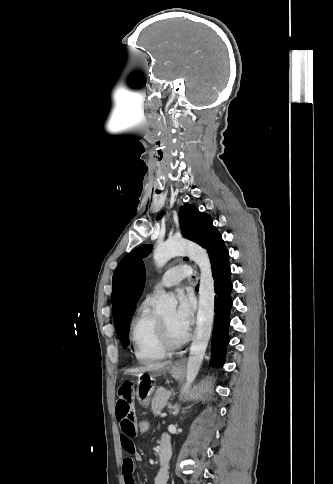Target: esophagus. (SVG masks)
Segmentation results:
<instances>
[{"label": "esophagus", "mask_w": 333, "mask_h": 484, "mask_svg": "<svg viewBox=\"0 0 333 484\" xmlns=\"http://www.w3.org/2000/svg\"><path fill=\"white\" fill-rule=\"evenodd\" d=\"M182 364H183V361H182V360H179V361H177V363H176V365H177V366H180V365H182Z\"/></svg>", "instance_id": "obj_1"}]
</instances>
